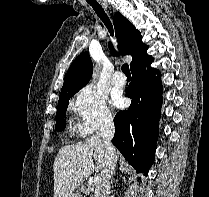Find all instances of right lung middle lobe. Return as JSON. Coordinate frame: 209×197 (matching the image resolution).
<instances>
[{
    "label": "right lung middle lobe",
    "mask_w": 209,
    "mask_h": 197,
    "mask_svg": "<svg viewBox=\"0 0 209 197\" xmlns=\"http://www.w3.org/2000/svg\"><path fill=\"white\" fill-rule=\"evenodd\" d=\"M81 88L73 89L65 93L62 97L59 98L57 113H56V126L55 131H62L65 129V113L68 107V103L70 98L73 97L75 93H77Z\"/></svg>",
    "instance_id": "obj_1"
}]
</instances>
